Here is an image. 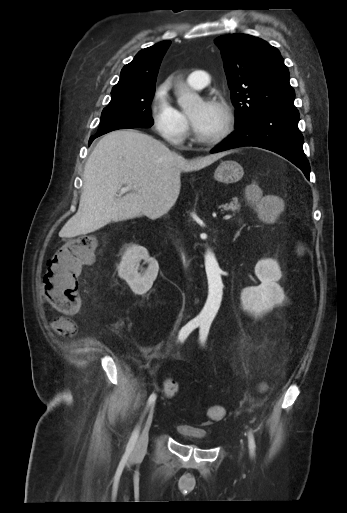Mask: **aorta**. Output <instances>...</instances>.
Wrapping results in <instances>:
<instances>
[{"label": "aorta", "mask_w": 347, "mask_h": 513, "mask_svg": "<svg viewBox=\"0 0 347 513\" xmlns=\"http://www.w3.org/2000/svg\"><path fill=\"white\" fill-rule=\"evenodd\" d=\"M177 88L178 103L184 111L189 112L202 103L201 97L191 92L183 83L178 84ZM205 269L208 278V299L198 317L210 322L220 306L223 294L219 265L211 250H208L205 255Z\"/></svg>", "instance_id": "762f6f07"}]
</instances>
